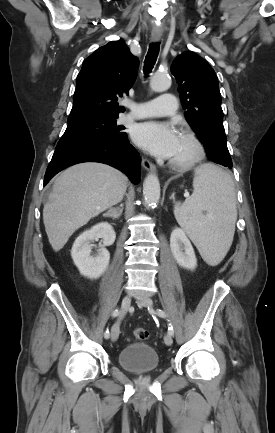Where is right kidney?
I'll return each mask as SVG.
<instances>
[{"label":"right kidney","instance_id":"ca27d5eb","mask_svg":"<svg viewBox=\"0 0 275 433\" xmlns=\"http://www.w3.org/2000/svg\"><path fill=\"white\" fill-rule=\"evenodd\" d=\"M98 238L103 239V245H101L96 256H91L93 246L91 242ZM115 238V231L107 222L93 226L76 238L72 246L71 256L81 275L97 279L106 271L109 265L110 253L105 246L112 245Z\"/></svg>","mask_w":275,"mask_h":433}]
</instances>
